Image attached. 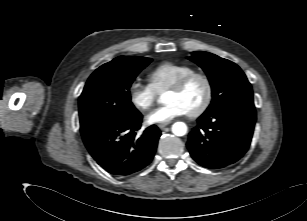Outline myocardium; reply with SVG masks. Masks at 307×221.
Wrapping results in <instances>:
<instances>
[{
	"mask_svg": "<svg viewBox=\"0 0 307 221\" xmlns=\"http://www.w3.org/2000/svg\"><path fill=\"white\" fill-rule=\"evenodd\" d=\"M194 79H200L204 82L206 94L202 104L197 109L187 112V115L190 118L200 117L209 109L214 95V87L211 78L206 73L194 71L183 76L168 88V91L180 92L184 90Z\"/></svg>",
	"mask_w": 307,
	"mask_h": 221,
	"instance_id": "f54148a6",
	"label": "myocardium"
}]
</instances>
